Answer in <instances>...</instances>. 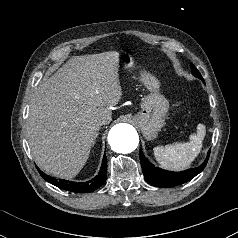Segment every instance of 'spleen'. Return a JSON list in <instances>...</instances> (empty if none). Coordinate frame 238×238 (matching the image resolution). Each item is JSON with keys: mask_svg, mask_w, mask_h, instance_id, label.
<instances>
[{"mask_svg": "<svg viewBox=\"0 0 238 238\" xmlns=\"http://www.w3.org/2000/svg\"><path fill=\"white\" fill-rule=\"evenodd\" d=\"M205 133V126L198 124L197 134H192L189 142L155 147L153 151L156 160L168 169L180 170L188 167L200 153Z\"/></svg>", "mask_w": 238, "mask_h": 238, "instance_id": "obj_1", "label": "spleen"}]
</instances>
